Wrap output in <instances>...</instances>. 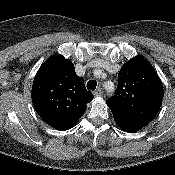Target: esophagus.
Wrapping results in <instances>:
<instances>
[{
	"label": "esophagus",
	"mask_w": 175,
	"mask_h": 175,
	"mask_svg": "<svg viewBox=\"0 0 175 175\" xmlns=\"http://www.w3.org/2000/svg\"><path fill=\"white\" fill-rule=\"evenodd\" d=\"M103 94L102 88H97L96 91L94 92L95 96H101Z\"/></svg>",
	"instance_id": "esophagus-1"
}]
</instances>
